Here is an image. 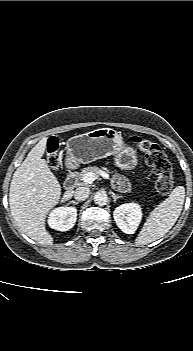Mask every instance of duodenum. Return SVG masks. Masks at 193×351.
<instances>
[{
  "label": "duodenum",
  "instance_id": "410a0bca",
  "mask_svg": "<svg viewBox=\"0 0 193 351\" xmlns=\"http://www.w3.org/2000/svg\"><path fill=\"white\" fill-rule=\"evenodd\" d=\"M64 186L66 190L72 191L77 186L76 180V166L74 162H69L66 167V179Z\"/></svg>",
  "mask_w": 193,
  "mask_h": 351
}]
</instances>
